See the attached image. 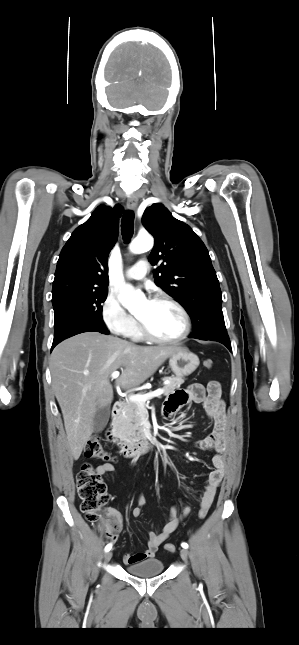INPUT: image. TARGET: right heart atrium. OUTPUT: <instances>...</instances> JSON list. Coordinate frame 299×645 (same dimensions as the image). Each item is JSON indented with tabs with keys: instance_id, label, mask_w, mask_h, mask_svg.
<instances>
[{
	"instance_id": "right-heart-atrium-1",
	"label": "right heart atrium",
	"mask_w": 299,
	"mask_h": 645,
	"mask_svg": "<svg viewBox=\"0 0 299 645\" xmlns=\"http://www.w3.org/2000/svg\"><path fill=\"white\" fill-rule=\"evenodd\" d=\"M101 318L107 330L118 336L128 335L136 325L135 319L113 295L105 298L101 307Z\"/></svg>"
}]
</instances>
